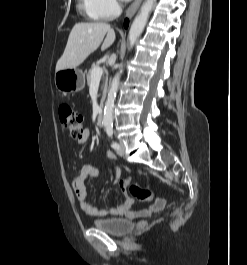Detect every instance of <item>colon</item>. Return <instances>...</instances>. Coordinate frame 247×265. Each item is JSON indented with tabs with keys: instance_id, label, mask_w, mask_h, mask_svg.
<instances>
[{
	"instance_id": "1",
	"label": "colon",
	"mask_w": 247,
	"mask_h": 265,
	"mask_svg": "<svg viewBox=\"0 0 247 265\" xmlns=\"http://www.w3.org/2000/svg\"><path fill=\"white\" fill-rule=\"evenodd\" d=\"M59 119L72 138L79 140L84 134L83 117L68 104L59 107ZM122 190L129 196L140 201H151L153 194L145 188L124 180L120 183Z\"/></svg>"
}]
</instances>
